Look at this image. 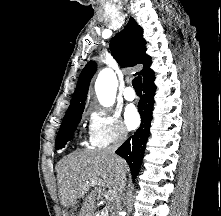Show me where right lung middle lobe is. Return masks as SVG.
I'll return each mask as SVG.
<instances>
[{"label": "right lung middle lobe", "instance_id": "obj_1", "mask_svg": "<svg viewBox=\"0 0 221 216\" xmlns=\"http://www.w3.org/2000/svg\"><path fill=\"white\" fill-rule=\"evenodd\" d=\"M82 113L83 111L64 117L55 141L56 149L64 148L66 142L72 139L73 132L80 122Z\"/></svg>", "mask_w": 221, "mask_h": 216}]
</instances>
